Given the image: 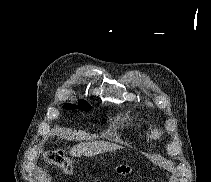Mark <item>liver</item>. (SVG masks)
<instances>
[{
	"label": "liver",
	"mask_w": 211,
	"mask_h": 182,
	"mask_svg": "<svg viewBox=\"0 0 211 182\" xmlns=\"http://www.w3.org/2000/svg\"><path fill=\"white\" fill-rule=\"evenodd\" d=\"M121 147L104 141H93V142H82L78 145L73 146L70 149V155L74 157H80L81 155L86 157H92L100 153L113 151L120 149Z\"/></svg>",
	"instance_id": "6515ba94"
}]
</instances>
